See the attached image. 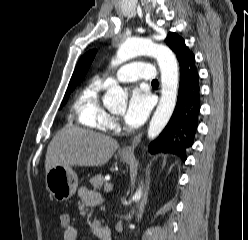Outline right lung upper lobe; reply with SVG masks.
<instances>
[{
    "mask_svg": "<svg viewBox=\"0 0 248 240\" xmlns=\"http://www.w3.org/2000/svg\"><path fill=\"white\" fill-rule=\"evenodd\" d=\"M96 55V50H91L87 52L84 56L81 57L79 60L74 73L72 75L71 81H78L80 82L84 76L86 75L94 57Z\"/></svg>",
    "mask_w": 248,
    "mask_h": 240,
    "instance_id": "1",
    "label": "right lung upper lobe"
}]
</instances>
